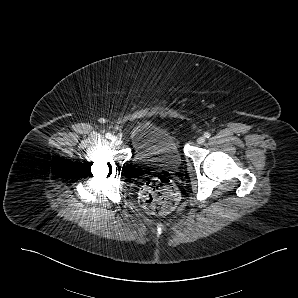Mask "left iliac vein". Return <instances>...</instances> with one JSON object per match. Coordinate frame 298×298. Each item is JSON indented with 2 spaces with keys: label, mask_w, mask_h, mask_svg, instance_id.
Here are the masks:
<instances>
[{
  "label": "left iliac vein",
  "mask_w": 298,
  "mask_h": 298,
  "mask_svg": "<svg viewBox=\"0 0 298 298\" xmlns=\"http://www.w3.org/2000/svg\"><path fill=\"white\" fill-rule=\"evenodd\" d=\"M204 142H205V138L203 136H201L197 139L198 144H203Z\"/></svg>",
  "instance_id": "obj_1"
}]
</instances>
